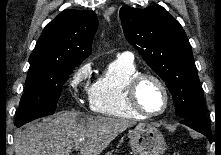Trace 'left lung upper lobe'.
<instances>
[{"mask_svg": "<svg viewBox=\"0 0 221 155\" xmlns=\"http://www.w3.org/2000/svg\"><path fill=\"white\" fill-rule=\"evenodd\" d=\"M120 18L128 42L165 81L176 114L182 119L206 120L191 45L180 23L159 5L145 9L123 6Z\"/></svg>", "mask_w": 221, "mask_h": 155, "instance_id": "1", "label": "left lung upper lobe"}]
</instances>
